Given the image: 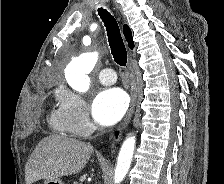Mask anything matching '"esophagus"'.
I'll return each mask as SVG.
<instances>
[{"mask_svg":"<svg viewBox=\"0 0 224 184\" xmlns=\"http://www.w3.org/2000/svg\"><path fill=\"white\" fill-rule=\"evenodd\" d=\"M128 71H129V76H130V80H131V83H130V85H131V103H130V107L127 111V114L123 119V122L119 126L120 130L124 129L129 124V122L132 118V115L134 113L135 106H136V100H137L136 77H135V72L133 69L131 57H130L129 65H128Z\"/></svg>","mask_w":224,"mask_h":184,"instance_id":"esophagus-1","label":"esophagus"}]
</instances>
